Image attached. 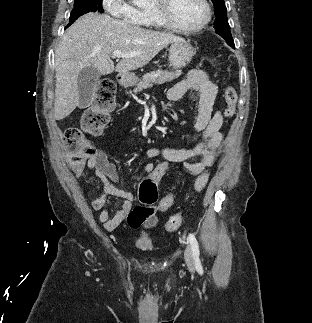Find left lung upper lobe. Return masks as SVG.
Listing matches in <instances>:
<instances>
[{
    "instance_id": "1",
    "label": "left lung upper lobe",
    "mask_w": 312,
    "mask_h": 323,
    "mask_svg": "<svg viewBox=\"0 0 312 323\" xmlns=\"http://www.w3.org/2000/svg\"><path fill=\"white\" fill-rule=\"evenodd\" d=\"M214 4L216 20L214 28L216 33L221 35L231 47L234 46V41L230 32V26L227 19V9L224 0H211Z\"/></svg>"
}]
</instances>
